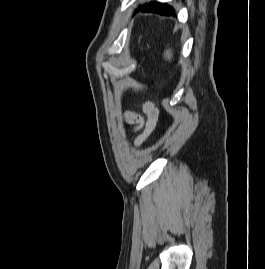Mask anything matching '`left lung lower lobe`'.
Here are the masks:
<instances>
[{
	"label": "left lung lower lobe",
	"mask_w": 265,
	"mask_h": 269,
	"mask_svg": "<svg viewBox=\"0 0 265 269\" xmlns=\"http://www.w3.org/2000/svg\"><path fill=\"white\" fill-rule=\"evenodd\" d=\"M144 11V12H153V13H158L160 15H165V16H174L175 11L171 6H168L165 3H160V2H154L150 4L143 5L141 8L137 9L136 11Z\"/></svg>",
	"instance_id": "left-lung-lower-lobe-1"
}]
</instances>
